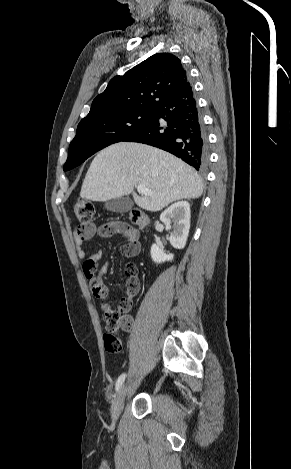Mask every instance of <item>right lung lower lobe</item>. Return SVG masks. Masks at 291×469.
<instances>
[{
    "label": "right lung lower lobe",
    "mask_w": 291,
    "mask_h": 469,
    "mask_svg": "<svg viewBox=\"0 0 291 469\" xmlns=\"http://www.w3.org/2000/svg\"><path fill=\"white\" fill-rule=\"evenodd\" d=\"M123 141L168 151L198 171L208 164V141L192 87L172 92L153 109V116Z\"/></svg>",
    "instance_id": "right-lung-lower-lobe-1"
}]
</instances>
